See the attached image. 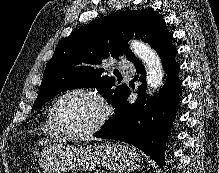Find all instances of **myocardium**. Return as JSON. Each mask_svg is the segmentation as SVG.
I'll return each instance as SVG.
<instances>
[{
	"label": "myocardium",
	"mask_w": 219,
	"mask_h": 173,
	"mask_svg": "<svg viewBox=\"0 0 219 173\" xmlns=\"http://www.w3.org/2000/svg\"><path fill=\"white\" fill-rule=\"evenodd\" d=\"M73 94H85L93 97L102 107V114L99 119L90 127L80 131H70L65 129L58 118V106L63 99ZM112 115V108L103 94L92 87H75L62 93L53 103L51 107V120L56 129L64 136L70 138H82L96 133L102 129L109 121Z\"/></svg>",
	"instance_id": "f54148a6"
}]
</instances>
